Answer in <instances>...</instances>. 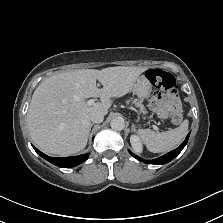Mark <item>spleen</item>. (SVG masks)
I'll return each mask as SVG.
<instances>
[{"label":"spleen","instance_id":"3e777b00","mask_svg":"<svg viewBox=\"0 0 223 223\" xmlns=\"http://www.w3.org/2000/svg\"><path fill=\"white\" fill-rule=\"evenodd\" d=\"M188 130V121L185 120L177 129L167 132H154L141 129L139 134L153 153L167 152L178 146L184 140Z\"/></svg>","mask_w":223,"mask_h":223}]
</instances>
